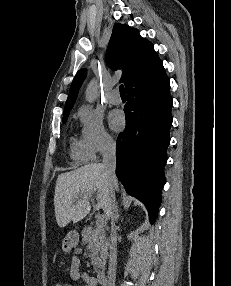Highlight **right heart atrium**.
Wrapping results in <instances>:
<instances>
[{
	"label": "right heart atrium",
	"mask_w": 231,
	"mask_h": 286,
	"mask_svg": "<svg viewBox=\"0 0 231 286\" xmlns=\"http://www.w3.org/2000/svg\"><path fill=\"white\" fill-rule=\"evenodd\" d=\"M78 117L82 126V139L94 155L114 148L115 140L106 130L100 113L90 107H82Z\"/></svg>",
	"instance_id": "1"
}]
</instances>
